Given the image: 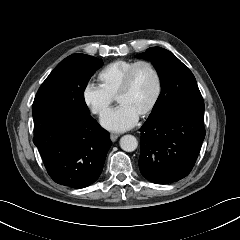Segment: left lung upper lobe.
I'll use <instances>...</instances> for the list:
<instances>
[{"instance_id": "obj_1", "label": "left lung upper lobe", "mask_w": 240, "mask_h": 240, "mask_svg": "<svg viewBox=\"0 0 240 240\" xmlns=\"http://www.w3.org/2000/svg\"><path fill=\"white\" fill-rule=\"evenodd\" d=\"M137 57L152 60L162 87L146 121H155L179 108L204 110V101L194 75L173 53L161 47H151Z\"/></svg>"}]
</instances>
